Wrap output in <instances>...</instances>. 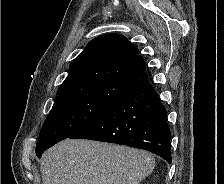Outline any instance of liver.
I'll return each mask as SVG.
<instances>
[{"instance_id": "1", "label": "liver", "mask_w": 224, "mask_h": 184, "mask_svg": "<svg viewBox=\"0 0 224 184\" xmlns=\"http://www.w3.org/2000/svg\"><path fill=\"white\" fill-rule=\"evenodd\" d=\"M154 167L147 151L89 140L66 139L41 159L43 184H139Z\"/></svg>"}]
</instances>
